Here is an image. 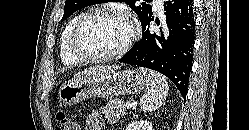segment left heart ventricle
Listing matches in <instances>:
<instances>
[{
    "instance_id": "obj_1",
    "label": "left heart ventricle",
    "mask_w": 249,
    "mask_h": 130,
    "mask_svg": "<svg viewBox=\"0 0 249 130\" xmlns=\"http://www.w3.org/2000/svg\"><path fill=\"white\" fill-rule=\"evenodd\" d=\"M131 34L129 22L118 16H99L90 20L80 35L81 48L105 55L118 51Z\"/></svg>"
}]
</instances>
